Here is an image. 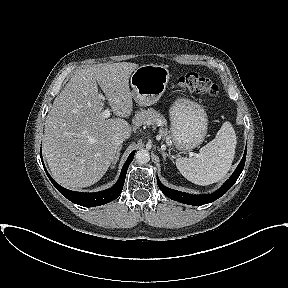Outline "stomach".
Here are the masks:
<instances>
[{
    "instance_id": "obj_1",
    "label": "stomach",
    "mask_w": 288,
    "mask_h": 288,
    "mask_svg": "<svg viewBox=\"0 0 288 288\" xmlns=\"http://www.w3.org/2000/svg\"><path fill=\"white\" fill-rule=\"evenodd\" d=\"M170 72L165 65L147 64L134 70L130 78L133 98L140 106L155 104L165 92ZM170 135L174 147L186 151L199 146L208 127L207 114L198 103L177 99L169 111Z\"/></svg>"
}]
</instances>
